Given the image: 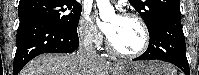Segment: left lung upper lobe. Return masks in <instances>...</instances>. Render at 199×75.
Wrapping results in <instances>:
<instances>
[{
	"label": "left lung upper lobe",
	"instance_id": "left-lung-upper-lobe-1",
	"mask_svg": "<svg viewBox=\"0 0 199 75\" xmlns=\"http://www.w3.org/2000/svg\"><path fill=\"white\" fill-rule=\"evenodd\" d=\"M145 21L149 33L170 14H181L179 0H129Z\"/></svg>",
	"mask_w": 199,
	"mask_h": 75
}]
</instances>
